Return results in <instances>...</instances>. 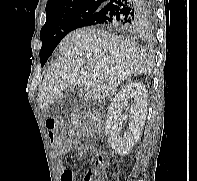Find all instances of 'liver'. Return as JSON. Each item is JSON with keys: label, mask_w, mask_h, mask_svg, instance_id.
Wrapping results in <instances>:
<instances>
[{"label": "liver", "mask_w": 197, "mask_h": 181, "mask_svg": "<svg viewBox=\"0 0 197 181\" xmlns=\"http://www.w3.org/2000/svg\"><path fill=\"white\" fill-rule=\"evenodd\" d=\"M58 48L64 57L47 69L38 95L41 109L55 103L72 85L80 88L85 99H105L127 77L146 73L153 66L146 51L134 41L100 29L71 32Z\"/></svg>", "instance_id": "liver-1"}]
</instances>
